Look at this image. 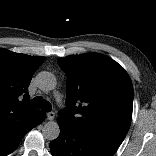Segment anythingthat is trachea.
I'll return each mask as SVG.
<instances>
[{"instance_id":"trachea-1","label":"trachea","mask_w":156,"mask_h":156,"mask_svg":"<svg viewBox=\"0 0 156 156\" xmlns=\"http://www.w3.org/2000/svg\"><path fill=\"white\" fill-rule=\"evenodd\" d=\"M30 105L34 108L42 109L45 112H50L52 109V105L49 101L43 99L41 96H36L30 102Z\"/></svg>"}]
</instances>
